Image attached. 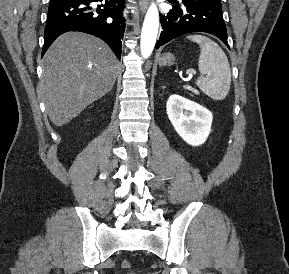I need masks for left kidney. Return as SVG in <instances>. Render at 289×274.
Listing matches in <instances>:
<instances>
[{
  "instance_id": "5707ae66",
  "label": "left kidney",
  "mask_w": 289,
  "mask_h": 274,
  "mask_svg": "<svg viewBox=\"0 0 289 274\" xmlns=\"http://www.w3.org/2000/svg\"><path fill=\"white\" fill-rule=\"evenodd\" d=\"M166 111L176 132L186 143L199 146L207 140L213 116L205 107L173 94L167 101Z\"/></svg>"
}]
</instances>
